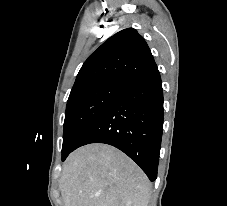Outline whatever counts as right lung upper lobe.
<instances>
[{
    "label": "right lung upper lobe",
    "mask_w": 227,
    "mask_h": 206,
    "mask_svg": "<svg viewBox=\"0 0 227 206\" xmlns=\"http://www.w3.org/2000/svg\"><path fill=\"white\" fill-rule=\"evenodd\" d=\"M156 66L142 36L133 28L124 29L106 40L81 67L71 93L90 84L130 79Z\"/></svg>",
    "instance_id": "obj_1"
}]
</instances>
